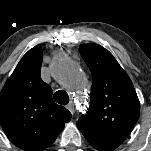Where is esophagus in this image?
Listing matches in <instances>:
<instances>
[{
    "label": "esophagus",
    "instance_id": "34e87169",
    "mask_svg": "<svg viewBox=\"0 0 151 151\" xmlns=\"http://www.w3.org/2000/svg\"><path fill=\"white\" fill-rule=\"evenodd\" d=\"M66 108L71 112V114H74V104L71 102L69 103Z\"/></svg>",
    "mask_w": 151,
    "mask_h": 151
}]
</instances>
